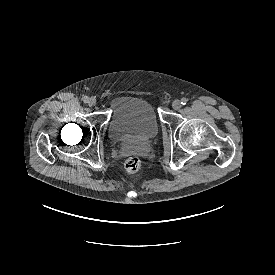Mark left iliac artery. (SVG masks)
I'll return each instance as SVG.
<instances>
[{"mask_svg":"<svg viewBox=\"0 0 275 275\" xmlns=\"http://www.w3.org/2000/svg\"><path fill=\"white\" fill-rule=\"evenodd\" d=\"M187 102H188V100H187L186 98H182V99H181V104H182V105H186Z\"/></svg>","mask_w":275,"mask_h":275,"instance_id":"44dca946","label":"left iliac artery"}]
</instances>
